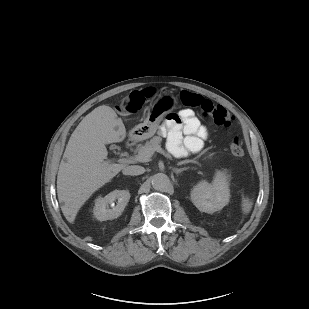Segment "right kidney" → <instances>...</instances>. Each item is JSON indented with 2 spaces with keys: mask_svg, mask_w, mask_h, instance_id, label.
Wrapping results in <instances>:
<instances>
[{
  "mask_svg": "<svg viewBox=\"0 0 309 309\" xmlns=\"http://www.w3.org/2000/svg\"><path fill=\"white\" fill-rule=\"evenodd\" d=\"M129 199L130 193L127 190H114L105 197H99L95 201L94 216L99 221L115 219L121 215ZM116 200L117 204L114 206Z\"/></svg>",
  "mask_w": 309,
  "mask_h": 309,
  "instance_id": "1",
  "label": "right kidney"
}]
</instances>
